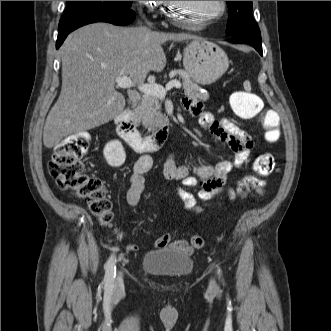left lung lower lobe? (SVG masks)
Returning a JSON list of instances; mask_svg holds the SVG:
<instances>
[{"label": "left lung lower lobe", "instance_id": "0a47b994", "mask_svg": "<svg viewBox=\"0 0 331 331\" xmlns=\"http://www.w3.org/2000/svg\"><path fill=\"white\" fill-rule=\"evenodd\" d=\"M228 41L232 43L249 44L254 47L260 53V55L263 54L260 33L236 35L232 36L230 39H228Z\"/></svg>", "mask_w": 331, "mask_h": 331}]
</instances>
